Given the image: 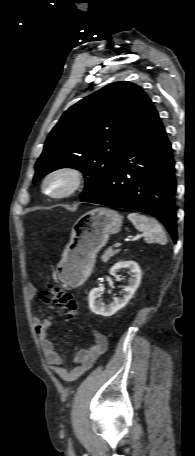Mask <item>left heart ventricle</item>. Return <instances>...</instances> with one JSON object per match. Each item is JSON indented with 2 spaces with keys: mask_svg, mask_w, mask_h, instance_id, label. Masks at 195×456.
<instances>
[{
  "mask_svg": "<svg viewBox=\"0 0 195 456\" xmlns=\"http://www.w3.org/2000/svg\"><path fill=\"white\" fill-rule=\"evenodd\" d=\"M69 180L65 176H56L51 178L47 183V189L52 193H59L67 188Z\"/></svg>",
  "mask_w": 195,
  "mask_h": 456,
  "instance_id": "left-heart-ventricle-1",
  "label": "left heart ventricle"
}]
</instances>
